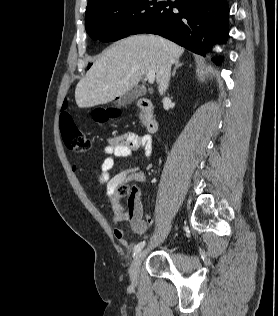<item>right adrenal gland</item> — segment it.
I'll return each instance as SVG.
<instances>
[{
	"label": "right adrenal gland",
	"instance_id": "2a0ac1e0",
	"mask_svg": "<svg viewBox=\"0 0 278 316\" xmlns=\"http://www.w3.org/2000/svg\"><path fill=\"white\" fill-rule=\"evenodd\" d=\"M182 65H183V63H180L179 59H177V60L175 61V67H174V69H173V71H172V77L175 76L176 70H177L179 67H181Z\"/></svg>",
	"mask_w": 278,
	"mask_h": 316
}]
</instances>
